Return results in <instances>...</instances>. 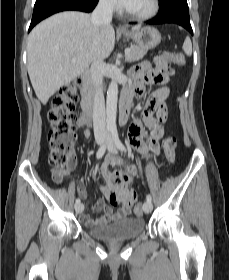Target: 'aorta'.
Wrapping results in <instances>:
<instances>
[{"label":"aorta","mask_w":229,"mask_h":280,"mask_svg":"<svg viewBox=\"0 0 229 280\" xmlns=\"http://www.w3.org/2000/svg\"><path fill=\"white\" fill-rule=\"evenodd\" d=\"M118 100V84L112 80L107 90L106 123L110 131H116V112Z\"/></svg>","instance_id":"obj_1"}]
</instances>
